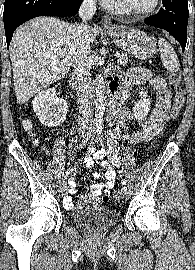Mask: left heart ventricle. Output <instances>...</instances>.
<instances>
[{
	"instance_id": "obj_1",
	"label": "left heart ventricle",
	"mask_w": 195,
	"mask_h": 270,
	"mask_svg": "<svg viewBox=\"0 0 195 270\" xmlns=\"http://www.w3.org/2000/svg\"><path fill=\"white\" fill-rule=\"evenodd\" d=\"M155 0H126V2L137 10H145L154 4Z\"/></svg>"
}]
</instances>
